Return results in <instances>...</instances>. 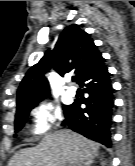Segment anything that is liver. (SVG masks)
I'll return each mask as SVG.
<instances>
[{
  "label": "liver",
  "mask_w": 135,
  "mask_h": 166,
  "mask_svg": "<svg viewBox=\"0 0 135 166\" xmlns=\"http://www.w3.org/2000/svg\"><path fill=\"white\" fill-rule=\"evenodd\" d=\"M99 144L68 129L49 133L34 148L17 152L8 166H65L97 156Z\"/></svg>",
  "instance_id": "1"
}]
</instances>
